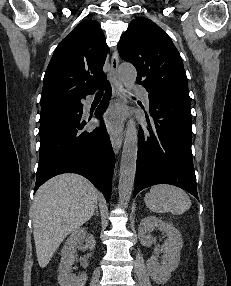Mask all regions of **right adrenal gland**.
<instances>
[{
	"label": "right adrenal gland",
	"mask_w": 231,
	"mask_h": 286,
	"mask_svg": "<svg viewBox=\"0 0 231 286\" xmlns=\"http://www.w3.org/2000/svg\"><path fill=\"white\" fill-rule=\"evenodd\" d=\"M93 215H96V216H98L99 215V212H98V206H96V209H95V212H94V214Z\"/></svg>",
	"instance_id": "1"
}]
</instances>
